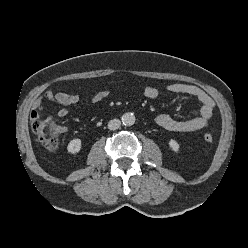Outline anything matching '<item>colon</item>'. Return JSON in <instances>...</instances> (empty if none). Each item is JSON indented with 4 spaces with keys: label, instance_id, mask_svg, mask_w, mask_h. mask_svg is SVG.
<instances>
[{
    "label": "colon",
    "instance_id": "5ec220e1",
    "mask_svg": "<svg viewBox=\"0 0 248 248\" xmlns=\"http://www.w3.org/2000/svg\"><path fill=\"white\" fill-rule=\"evenodd\" d=\"M33 131L46 149L53 151L58 147L61 129L54 120L49 118L36 120L33 123ZM204 140L211 143L213 140L212 134L206 133Z\"/></svg>",
    "mask_w": 248,
    "mask_h": 248
}]
</instances>
